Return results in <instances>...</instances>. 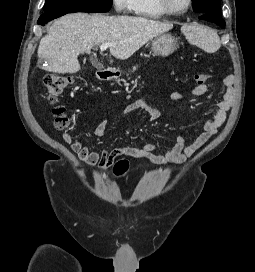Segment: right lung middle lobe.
Segmentation results:
<instances>
[{"mask_svg":"<svg viewBox=\"0 0 255 272\" xmlns=\"http://www.w3.org/2000/svg\"><path fill=\"white\" fill-rule=\"evenodd\" d=\"M113 0H46L44 14L73 12H107Z\"/></svg>","mask_w":255,"mask_h":272,"instance_id":"dd1d6c3e","label":"right lung middle lobe"}]
</instances>
